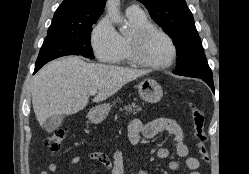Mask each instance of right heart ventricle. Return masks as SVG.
Here are the masks:
<instances>
[{
    "instance_id": "1",
    "label": "right heart ventricle",
    "mask_w": 249,
    "mask_h": 174,
    "mask_svg": "<svg viewBox=\"0 0 249 174\" xmlns=\"http://www.w3.org/2000/svg\"><path fill=\"white\" fill-rule=\"evenodd\" d=\"M127 21L130 26L129 33L118 34L120 41V53L113 63L118 65H128L132 63L128 52V41L131 34L145 26L151 25L145 14L135 15L126 13Z\"/></svg>"
}]
</instances>
